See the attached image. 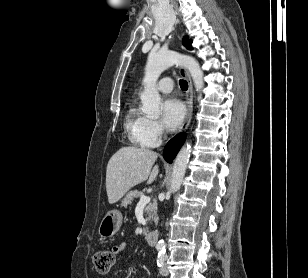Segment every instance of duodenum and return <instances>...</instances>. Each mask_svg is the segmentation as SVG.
I'll return each mask as SVG.
<instances>
[{
  "label": "duodenum",
  "mask_w": 308,
  "mask_h": 278,
  "mask_svg": "<svg viewBox=\"0 0 308 278\" xmlns=\"http://www.w3.org/2000/svg\"><path fill=\"white\" fill-rule=\"evenodd\" d=\"M158 236H159L158 231L156 230L150 231L146 237L148 244L150 246H154L157 243Z\"/></svg>",
  "instance_id": "1"
}]
</instances>
